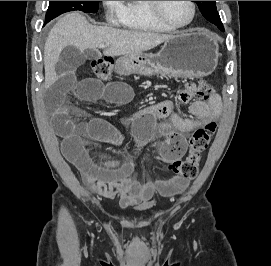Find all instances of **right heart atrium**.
Returning <instances> with one entry per match:
<instances>
[{"instance_id": "1", "label": "right heart atrium", "mask_w": 271, "mask_h": 266, "mask_svg": "<svg viewBox=\"0 0 271 266\" xmlns=\"http://www.w3.org/2000/svg\"><path fill=\"white\" fill-rule=\"evenodd\" d=\"M102 2L105 7L107 18L115 21L117 15L119 16L122 1H102Z\"/></svg>"}]
</instances>
